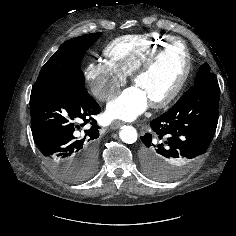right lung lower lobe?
<instances>
[{"mask_svg":"<svg viewBox=\"0 0 236 236\" xmlns=\"http://www.w3.org/2000/svg\"><path fill=\"white\" fill-rule=\"evenodd\" d=\"M100 111L86 89L76 84H34L31 129L35 144L50 166L97 160L99 126L93 116Z\"/></svg>","mask_w":236,"mask_h":236,"instance_id":"obj_1","label":"right lung lower lobe"}]
</instances>
